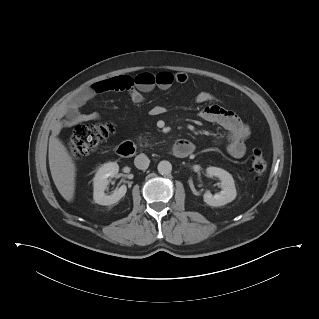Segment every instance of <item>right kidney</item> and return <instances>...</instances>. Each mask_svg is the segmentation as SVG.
<instances>
[{
  "instance_id": "right-kidney-1",
  "label": "right kidney",
  "mask_w": 319,
  "mask_h": 319,
  "mask_svg": "<svg viewBox=\"0 0 319 319\" xmlns=\"http://www.w3.org/2000/svg\"><path fill=\"white\" fill-rule=\"evenodd\" d=\"M118 171L119 165L116 162H109L103 164L95 174L93 179V198L97 204L112 205L125 196L127 191L126 185H122L119 189H115L111 195H106L104 193L107 185L109 184L108 178L116 176Z\"/></svg>"
}]
</instances>
